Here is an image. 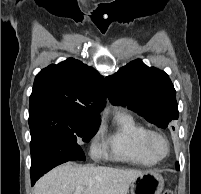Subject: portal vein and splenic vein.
I'll use <instances>...</instances> for the list:
<instances>
[{"instance_id": "1", "label": "portal vein and splenic vein", "mask_w": 201, "mask_h": 194, "mask_svg": "<svg viewBox=\"0 0 201 194\" xmlns=\"http://www.w3.org/2000/svg\"><path fill=\"white\" fill-rule=\"evenodd\" d=\"M82 191H83V187L77 186L76 189H75V193L74 194H81Z\"/></svg>"}]
</instances>
